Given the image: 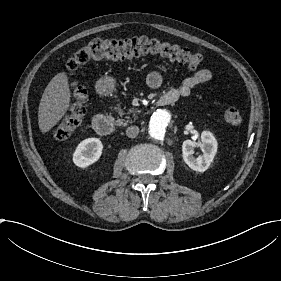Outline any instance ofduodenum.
Listing matches in <instances>:
<instances>
[{
	"label": "duodenum",
	"mask_w": 281,
	"mask_h": 281,
	"mask_svg": "<svg viewBox=\"0 0 281 281\" xmlns=\"http://www.w3.org/2000/svg\"><path fill=\"white\" fill-rule=\"evenodd\" d=\"M157 104L163 106L167 105L168 102L164 97H160L157 100ZM93 126L100 135L104 136L112 134L115 130L114 120L110 116L103 114H98L94 117Z\"/></svg>",
	"instance_id": "obj_1"
}]
</instances>
